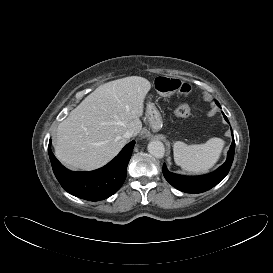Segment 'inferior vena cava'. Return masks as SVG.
<instances>
[{
  "label": "inferior vena cava",
  "mask_w": 273,
  "mask_h": 273,
  "mask_svg": "<svg viewBox=\"0 0 273 273\" xmlns=\"http://www.w3.org/2000/svg\"><path fill=\"white\" fill-rule=\"evenodd\" d=\"M134 135H135V132H134V130H132V129L127 130V131L123 134V136H124L125 138H130V137H132V136H134Z\"/></svg>",
  "instance_id": "602c4592"
}]
</instances>
